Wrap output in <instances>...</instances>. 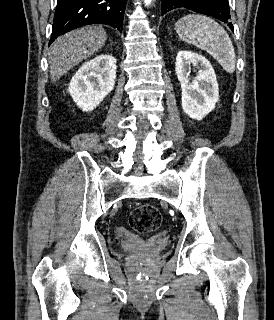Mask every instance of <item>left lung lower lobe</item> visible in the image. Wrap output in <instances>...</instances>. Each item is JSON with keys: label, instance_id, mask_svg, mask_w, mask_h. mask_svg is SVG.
<instances>
[{"label": "left lung lower lobe", "instance_id": "obj_1", "mask_svg": "<svg viewBox=\"0 0 274 320\" xmlns=\"http://www.w3.org/2000/svg\"><path fill=\"white\" fill-rule=\"evenodd\" d=\"M181 7L215 17L225 23L231 18L228 0H162V14ZM227 25L233 31V25L230 22Z\"/></svg>", "mask_w": 274, "mask_h": 320}]
</instances>
